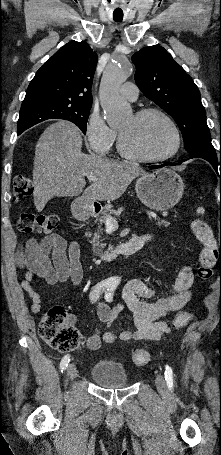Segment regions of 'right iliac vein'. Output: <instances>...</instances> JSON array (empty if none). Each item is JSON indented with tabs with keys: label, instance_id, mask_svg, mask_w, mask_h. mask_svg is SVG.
<instances>
[{
	"label": "right iliac vein",
	"instance_id": "obj_1",
	"mask_svg": "<svg viewBox=\"0 0 221 455\" xmlns=\"http://www.w3.org/2000/svg\"><path fill=\"white\" fill-rule=\"evenodd\" d=\"M67 375L70 379H74L77 375V369L74 364H70L67 368Z\"/></svg>",
	"mask_w": 221,
	"mask_h": 455
}]
</instances>
